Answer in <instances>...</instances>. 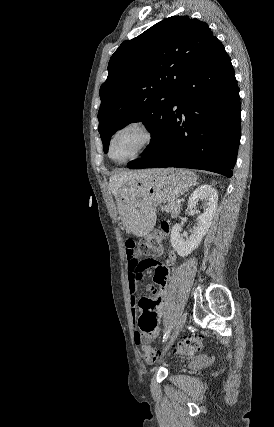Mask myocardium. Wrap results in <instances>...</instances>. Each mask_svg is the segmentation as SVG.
<instances>
[{
	"label": "myocardium",
	"mask_w": 274,
	"mask_h": 427,
	"mask_svg": "<svg viewBox=\"0 0 274 427\" xmlns=\"http://www.w3.org/2000/svg\"><path fill=\"white\" fill-rule=\"evenodd\" d=\"M130 128L137 129L143 134V137H144L143 142L132 157H130L125 161H116L111 155V147H112L113 139L121 131L130 129ZM155 140H156V132L149 122L143 119L131 120L120 125L118 128H116L112 132L107 143V155L116 164H119V165L128 164L134 161L135 159L139 158L140 156H142L154 144Z\"/></svg>",
	"instance_id": "myocardium-1"
}]
</instances>
